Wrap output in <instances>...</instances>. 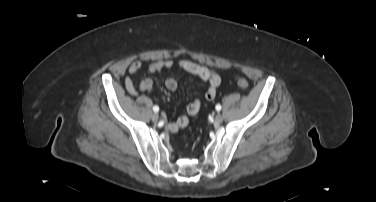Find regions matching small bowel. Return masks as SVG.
Segmentation results:
<instances>
[{
    "mask_svg": "<svg viewBox=\"0 0 376 202\" xmlns=\"http://www.w3.org/2000/svg\"><path fill=\"white\" fill-rule=\"evenodd\" d=\"M143 67V63L141 61H135L133 62L129 68H128V76H126L124 80V86L126 91L132 95L135 96L138 94V91L141 92H149L153 88V82L151 79H144L140 85L139 89H137L132 81L131 75L135 74L137 71H139ZM173 68H179L183 70L186 73L195 75L199 77L201 80L205 81L207 83V89L205 92V99L208 101H212L216 97L217 88L221 83L220 76L213 71L212 69L194 63L190 60H179L177 62H174L172 60H157L152 61L148 65V70L152 73H157L162 70H170ZM165 87L167 90L173 92L178 87V82L175 77H169L165 81ZM201 106V101L199 98H195L187 107V113L186 115H182L176 120L172 121L169 124V129L173 132H176L180 129L185 128L189 123V118L191 116H194L197 114ZM194 108L196 110L194 111Z\"/></svg>",
    "mask_w": 376,
    "mask_h": 202,
    "instance_id": "c3829d8e",
    "label": "small bowel"
}]
</instances>
